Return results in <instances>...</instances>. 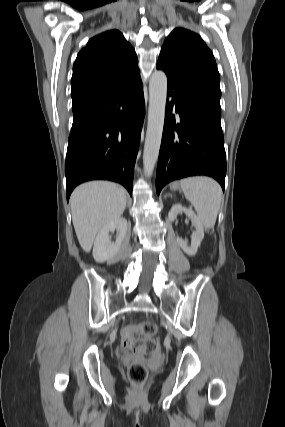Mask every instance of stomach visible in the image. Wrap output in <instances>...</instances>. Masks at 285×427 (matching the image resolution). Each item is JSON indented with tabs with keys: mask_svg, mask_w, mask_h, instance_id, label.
Returning a JSON list of instances; mask_svg holds the SVG:
<instances>
[{
	"mask_svg": "<svg viewBox=\"0 0 285 427\" xmlns=\"http://www.w3.org/2000/svg\"><path fill=\"white\" fill-rule=\"evenodd\" d=\"M171 189L172 190H179V184L178 183H173L172 185H171Z\"/></svg>",
	"mask_w": 285,
	"mask_h": 427,
	"instance_id": "stomach-1",
	"label": "stomach"
}]
</instances>
